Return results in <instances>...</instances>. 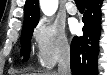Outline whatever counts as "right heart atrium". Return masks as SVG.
Masks as SVG:
<instances>
[{"instance_id":"d8ad5b80","label":"right heart atrium","mask_w":107,"mask_h":75,"mask_svg":"<svg viewBox=\"0 0 107 75\" xmlns=\"http://www.w3.org/2000/svg\"><path fill=\"white\" fill-rule=\"evenodd\" d=\"M32 37L38 60L44 67H53L70 52L64 28L51 19H40L33 28Z\"/></svg>"}]
</instances>
